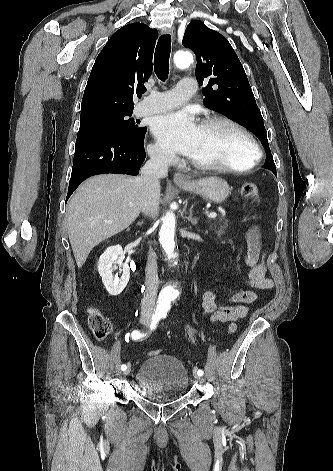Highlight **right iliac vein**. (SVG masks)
Returning a JSON list of instances; mask_svg holds the SVG:
<instances>
[{
  "label": "right iliac vein",
  "instance_id": "63e3f726",
  "mask_svg": "<svg viewBox=\"0 0 333 471\" xmlns=\"http://www.w3.org/2000/svg\"><path fill=\"white\" fill-rule=\"evenodd\" d=\"M140 322H141L142 324H148V323L150 322V316H148V315H142V316L140 317ZM130 371H131V365L129 364V365L127 366L126 370H124L123 375H124V376L129 375Z\"/></svg>",
  "mask_w": 333,
  "mask_h": 471
}]
</instances>
